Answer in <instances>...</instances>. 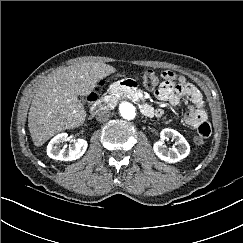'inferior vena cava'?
<instances>
[{
    "mask_svg": "<svg viewBox=\"0 0 243 243\" xmlns=\"http://www.w3.org/2000/svg\"><path fill=\"white\" fill-rule=\"evenodd\" d=\"M110 117V112L107 109H101L96 114V119L100 122L107 121Z\"/></svg>",
    "mask_w": 243,
    "mask_h": 243,
    "instance_id": "602c4592",
    "label": "inferior vena cava"
}]
</instances>
